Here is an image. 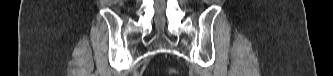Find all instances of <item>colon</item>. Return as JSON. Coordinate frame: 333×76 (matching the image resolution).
<instances>
[{
	"instance_id": "1",
	"label": "colon",
	"mask_w": 333,
	"mask_h": 76,
	"mask_svg": "<svg viewBox=\"0 0 333 76\" xmlns=\"http://www.w3.org/2000/svg\"><path fill=\"white\" fill-rule=\"evenodd\" d=\"M171 73H175V71H174V70H171Z\"/></svg>"
}]
</instances>
